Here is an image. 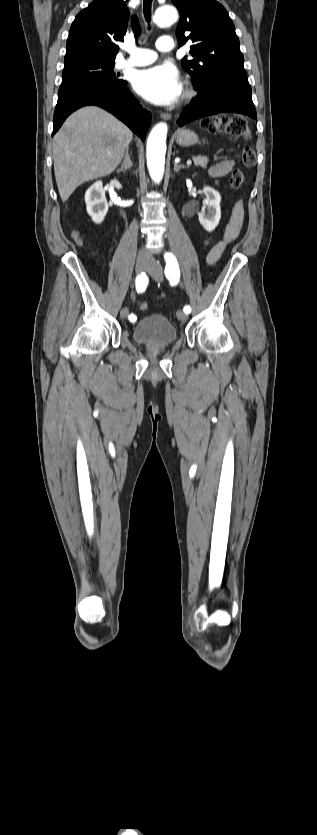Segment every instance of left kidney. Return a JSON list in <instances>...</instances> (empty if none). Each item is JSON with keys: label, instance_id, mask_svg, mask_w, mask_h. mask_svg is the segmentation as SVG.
<instances>
[{"label": "left kidney", "instance_id": "5707ae66", "mask_svg": "<svg viewBox=\"0 0 317 835\" xmlns=\"http://www.w3.org/2000/svg\"><path fill=\"white\" fill-rule=\"evenodd\" d=\"M205 199L201 212L198 214L200 224L207 231H213L219 224L221 218V196L215 189L205 186L203 188Z\"/></svg>", "mask_w": 317, "mask_h": 835}]
</instances>
